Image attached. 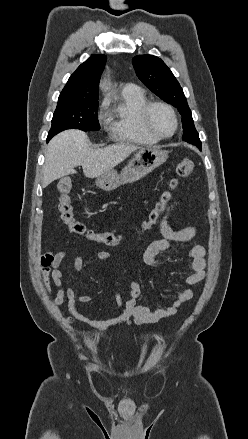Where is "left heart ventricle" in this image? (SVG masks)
Masks as SVG:
<instances>
[{"mask_svg":"<svg viewBox=\"0 0 248 439\" xmlns=\"http://www.w3.org/2000/svg\"><path fill=\"white\" fill-rule=\"evenodd\" d=\"M150 120L154 129L160 134L168 135L174 129V121L170 112L162 106H155L151 110Z\"/></svg>","mask_w":248,"mask_h":439,"instance_id":"left-heart-ventricle-1","label":"left heart ventricle"}]
</instances>
